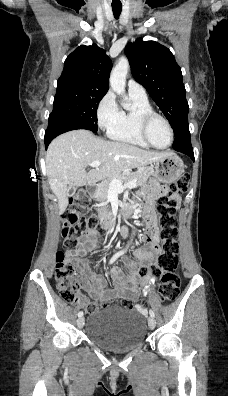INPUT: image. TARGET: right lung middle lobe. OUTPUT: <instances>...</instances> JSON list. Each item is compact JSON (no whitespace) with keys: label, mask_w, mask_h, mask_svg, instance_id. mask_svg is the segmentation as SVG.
I'll return each instance as SVG.
<instances>
[{"label":"right lung middle lobe","mask_w":228,"mask_h":396,"mask_svg":"<svg viewBox=\"0 0 228 396\" xmlns=\"http://www.w3.org/2000/svg\"><path fill=\"white\" fill-rule=\"evenodd\" d=\"M106 92L75 86L57 87L49 118H63L97 131V107Z\"/></svg>","instance_id":"dd1d6c3e"}]
</instances>
